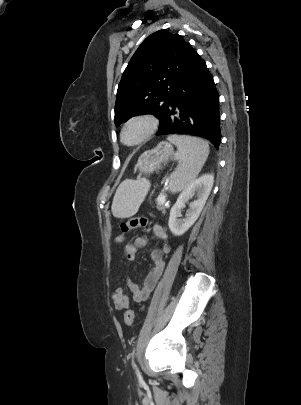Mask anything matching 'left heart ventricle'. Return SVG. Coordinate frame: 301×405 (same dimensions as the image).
Returning <instances> with one entry per match:
<instances>
[{
    "mask_svg": "<svg viewBox=\"0 0 301 405\" xmlns=\"http://www.w3.org/2000/svg\"><path fill=\"white\" fill-rule=\"evenodd\" d=\"M142 133V126L140 125H132L130 126L124 135V139L128 143L135 142Z\"/></svg>",
    "mask_w": 301,
    "mask_h": 405,
    "instance_id": "left-heart-ventricle-1",
    "label": "left heart ventricle"
}]
</instances>
